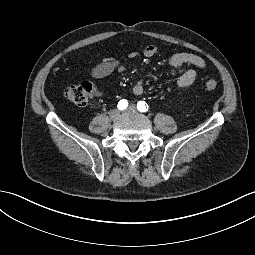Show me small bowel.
Returning a JSON list of instances; mask_svg holds the SVG:
<instances>
[{"label":"small bowel","instance_id":"obj_1","mask_svg":"<svg viewBox=\"0 0 255 255\" xmlns=\"http://www.w3.org/2000/svg\"><path fill=\"white\" fill-rule=\"evenodd\" d=\"M159 52V48L156 45L149 44L143 50V55L147 58L155 56ZM133 57L135 54L132 55ZM167 64L169 67L178 68L186 66L187 68L177 79L176 85L178 88H186L194 83L197 78V71L191 67L198 69L206 68V61L204 58L191 54V53H175L169 57ZM125 69V64L118 58H106L101 63L97 64L91 70V76L99 79L108 76L114 71H122ZM144 81L137 80L133 86V93L135 95H141L144 91Z\"/></svg>","mask_w":255,"mask_h":255}]
</instances>
